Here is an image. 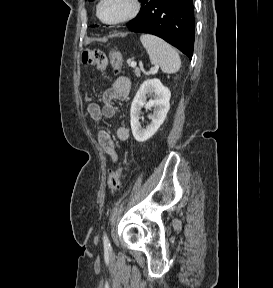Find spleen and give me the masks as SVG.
Here are the masks:
<instances>
[{"instance_id":"1","label":"spleen","mask_w":273,"mask_h":288,"mask_svg":"<svg viewBox=\"0 0 273 288\" xmlns=\"http://www.w3.org/2000/svg\"><path fill=\"white\" fill-rule=\"evenodd\" d=\"M140 41L147 50L151 63L159 65L164 73H176L180 70L181 61L177 51L163 39L143 34Z\"/></svg>"}]
</instances>
